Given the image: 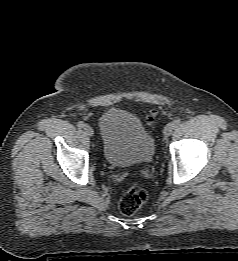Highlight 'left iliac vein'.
I'll list each match as a JSON object with an SVG mask.
<instances>
[{"label": "left iliac vein", "instance_id": "4c4485c4", "mask_svg": "<svg viewBox=\"0 0 238 261\" xmlns=\"http://www.w3.org/2000/svg\"><path fill=\"white\" fill-rule=\"evenodd\" d=\"M173 130H174V127H173L172 123L167 124L163 130L164 136H166V137L170 136L172 134Z\"/></svg>", "mask_w": 238, "mask_h": 261}]
</instances>
